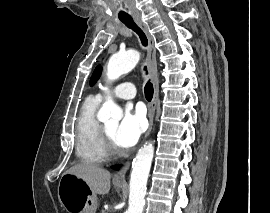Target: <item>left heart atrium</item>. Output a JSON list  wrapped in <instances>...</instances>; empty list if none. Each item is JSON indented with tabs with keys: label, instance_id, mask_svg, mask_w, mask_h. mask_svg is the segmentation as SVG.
Here are the masks:
<instances>
[{
	"label": "left heart atrium",
	"instance_id": "obj_1",
	"mask_svg": "<svg viewBox=\"0 0 270 213\" xmlns=\"http://www.w3.org/2000/svg\"><path fill=\"white\" fill-rule=\"evenodd\" d=\"M146 127L144 115L140 111L126 110L115 131V141L122 149L133 147Z\"/></svg>",
	"mask_w": 270,
	"mask_h": 213
}]
</instances>
